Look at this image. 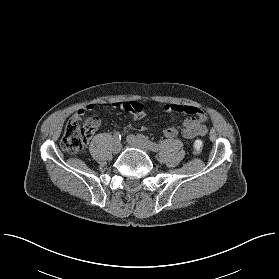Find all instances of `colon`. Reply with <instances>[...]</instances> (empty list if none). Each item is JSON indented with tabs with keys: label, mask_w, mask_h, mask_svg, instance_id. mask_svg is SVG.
<instances>
[{
	"label": "colon",
	"mask_w": 279,
	"mask_h": 279,
	"mask_svg": "<svg viewBox=\"0 0 279 279\" xmlns=\"http://www.w3.org/2000/svg\"><path fill=\"white\" fill-rule=\"evenodd\" d=\"M124 109L128 112L139 114L143 107L141 103L132 101L125 103ZM100 123L101 121L97 117H90L85 122L71 117L64 126L61 140L62 149L72 155L80 154ZM192 147L194 153H200L203 148V141L196 139Z\"/></svg>",
	"instance_id": "colon-1"
}]
</instances>
